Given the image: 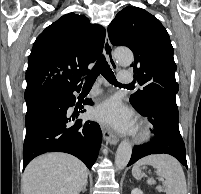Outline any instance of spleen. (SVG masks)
<instances>
[{"label": "spleen", "mask_w": 201, "mask_h": 194, "mask_svg": "<svg viewBox=\"0 0 201 194\" xmlns=\"http://www.w3.org/2000/svg\"><path fill=\"white\" fill-rule=\"evenodd\" d=\"M142 165H151L156 169L158 176L165 179L166 194H187L186 179L180 163L167 154L149 155L137 161L132 168V175L136 179H141ZM147 183H155L153 179H148Z\"/></svg>", "instance_id": "3e777b00"}]
</instances>
